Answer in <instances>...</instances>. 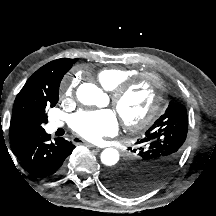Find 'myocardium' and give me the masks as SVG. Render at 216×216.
Instances as JSON below:
<instances>
[{
	"label": "myocardium",
	"mask_w": 216,
	"mask_h": 216,
	"mask_svg": "<svg viewBox=\"0 0 216 216\" xmlns=\"http://www.w3.org/2000/svg\"><path fill=\"white\" fill-rule=\"evenodd\" d=\"M143 79L150 80L155 87V95L152 103L149 106L146 114L141 118L136 120H128L122 117L121 113L118 112L119 116L122 119L124 126L127 129L131 130H141L147 127L155 118L159 110L161 109V105L164 99L165 93V85L161 77L154 72H142L138 73L122 83L116 86L110 94L112 106L115 109H118L120 101L124 97V95L131 90L134 86H136Z\"/></svg>",
	"instance_id": "myocardium-1"
}]
</instances>
